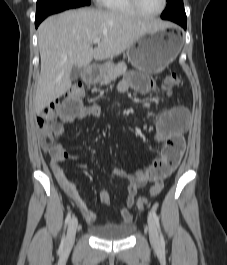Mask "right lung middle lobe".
<instances>
[{"mask_svg": "<svg viewBox=\"0 0 227 265\" xmlns=\"http://www.w3.org/2000/svg\"><path fill=\"white\" fill-rule=\"evenodd\" d=\"M90 5V0H37L36 20L42 21L48 15L69 8Z\"/></svg>", "mask_w": 227, "mask_h": 265, "instance_id": "right-lung-middle-lobe-1", "label": "right lung middle lobe"}]
</instances>
